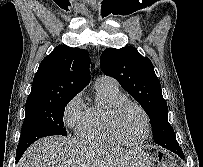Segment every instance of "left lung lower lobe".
Wrapping results in <instances>:
<instances>
[{
  "mask_svg": "<svg viewBox=\"0 0 203 167\" xmlns=\"http://www.w3.org/2000/svg\"><path fill=\"white\" fill-rule=\"evenodd\" d=\"M156 144L161 145L163 148H166V149L180 155L181 157H183L182 150H181L176 138L166 137L165 139L158 141V143H156Z\"/></svg>",
  "mask_w": 203,
  "mask_h": 167,
  "instance_id": "left-lung-lower-lobe-1",
  "label": "left lung lower lobe"
}]
</instances>
